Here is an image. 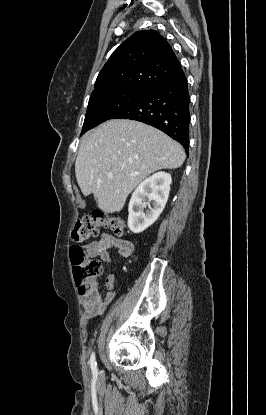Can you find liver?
Segmentation results:
<instances>
[{
  "mask_svg": "<svg viewBox=\"0 0 266 415\" xmlns=\"http://www.w3.org/2000/svg\"><path fill=\"white\" fill-rule=\"evenodd\" d=\"M183 147L162 131L129 119H113L85 133L75 163L84 196L93 194L106 213L119 212L127 196L151 173L177 169ZM113 177L108 178L107 173Z\"/></svg>",
  "mask_w": 266,
  "mask_h": 415,
  "instance_id": "obj_1",
  "label": "liver"
}]
</instances>
